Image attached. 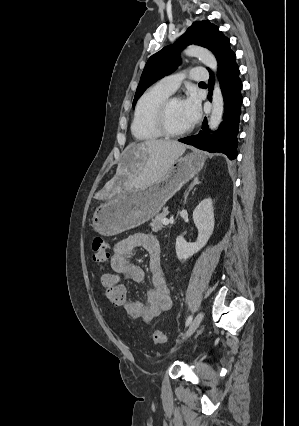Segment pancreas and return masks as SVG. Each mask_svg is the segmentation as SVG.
Here are the masks:
<instances>
[{"instance_id":"obj_1","label":"pancreas","mask_w":299,"mask_h":426,"mask_svg":"<svg viewBox=\"0 0 299 426\" xmlns=\"http://www.w3.org/2000/svg\"><path fill=\"white\" fill-rule=\"evenodd\" d=\"M168 211L167 208H164L161 214L156 215V217L152 220L151 226L154 232L161 231L164 227L162 220L167 216Z\"/></svg>"}]
</instances>
